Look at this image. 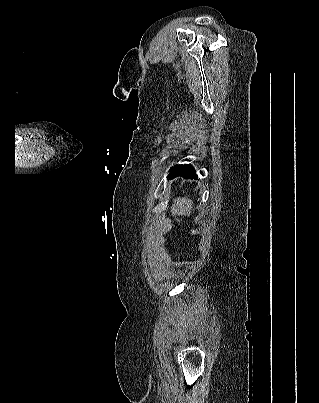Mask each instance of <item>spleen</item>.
<instances>
[{"instance_id": "obj_1", "label": "spleen", "mask_w": 319, "mask_h": 403, "mask_svg": "<svg viewBox=\"0 0 319 403\" xmlns=\"http://www.w3.org/2000/svg\"><path fill=\"white\" fill-rule=\"evenodd\" d=\"M193 210V201L186 197H178L173 201L171 214L173 216H190Z\"/></svg>"}]
</instances>
